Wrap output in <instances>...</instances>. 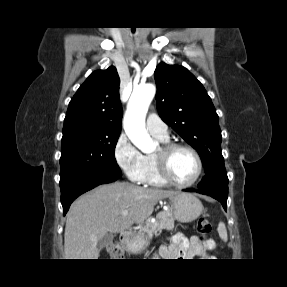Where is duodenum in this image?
Instances as JSON below:
<instances>
[{"label": "duodenum", "mask_w": 287, "mask_h": 287, "mask_svg": "<svg viewBox=\"0 0 287 287\" xmlns=\"http://www.w3.org/2000/svg\"><path fill=\"white\" fill-rule=\"evenodd\" d=\"M131 236L130 232H125L121 236L122 244L127 250L130 249Z\"/></svg>", "instance_id": "obj_1"}]
</instances>
